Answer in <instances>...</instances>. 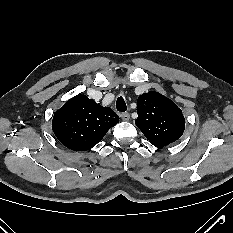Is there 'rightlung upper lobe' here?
Listing matches in <instances>:
<instances>
[{"instance_id": "cb5924a9", "label": "right lung upper lobe", "mask_w": 233, "mask_h": 233, "mask_svg": "<svg viewBox=\"0 0 233 233\" xmlns=\"http://www.w3.org/2000/svg\"><path fill=\"white\" fill-rule=\"evenodd\" d=\"M118 122L119 117L111 108L78 94L55 112L52 129L67 148L85 151L99 143Z\"/></svg>"}]
</instances>
